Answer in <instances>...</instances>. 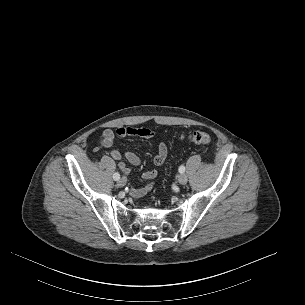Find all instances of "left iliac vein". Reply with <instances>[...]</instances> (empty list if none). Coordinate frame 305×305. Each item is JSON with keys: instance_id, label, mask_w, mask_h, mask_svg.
Returning a JSON list of instances; mask_svg holds the SVG:
<instances>
[{"instance_id": "1", "label": "left iliac vein", "mask_w": 305, "mask_h": 305, "mask_svg": "<svg viewBox=\"0 0 305 305\" xmlns=\"http://www.w3.org/2000/svg\"><path fill=\"white\" fill-rule=\"evenodd\" d=\"M187 181H188V178H187L186 174L181 173V174L178 176V182H179L181 185L186 184Z\"/></svg>"}]
</instances>
